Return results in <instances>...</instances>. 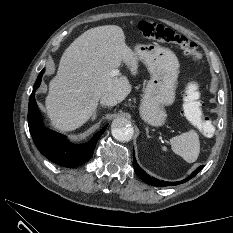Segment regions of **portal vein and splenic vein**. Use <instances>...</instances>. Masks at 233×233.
I'll return each mask as SVG.
<instances>
[{"label": "portal vein and splenic vein", "mask_w": 233, "mask_h": 233, "mask_svg": "<svg viewBox=\"0 0 233 233\" xmlns=\"http://www.w3.org/2000/svg\"><path fill=\"white\" fill-rule=\"evenodd\" d=\"M118 74H119V70H118V69H113V70L109 73V75H110L111 77L117 76Z\"/></svg>", "instance_id": "1"}]
</instances>
